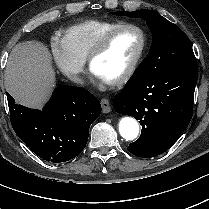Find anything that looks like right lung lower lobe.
Returning a JSON list of instances; mask_svg holds the SVG:
<instances>
[{"instance_id":"98d812e1","label":"right lung lower lobe","mask_w":209,"mask_h":209,"mask_svg":"<svg viewBox=\"0 0 209 209\" xmlns=\"http://www.w3.org/2000/svg\"><path fill=\"white\" fill-rule=\"evenodd\" d=\"M6 94L15 133L53 163L71 160L85 148L90 125L101 113L99 100L81 87L59 85L43 110L18 105Z\"/></svg>"}]
</instances>
